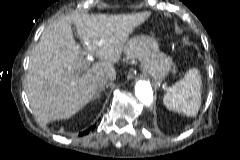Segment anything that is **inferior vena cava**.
I'll list each match as a JSON object with an SVG mask.
<instances>
[{
	"label": "inferior vena cava",
	"instance_id": "obj_1",
	"mask_svg": "<svg viewBox=\"0 0 240 160\" xmlns=\"http://www.w3.org/2000/svg\"><path fill=\"white\" fill-rule=\"evenodd\" d=\"M108 81H110L109 78H104V79H102V80L98 83L99 88H103V87L107 84Z\"/></svg>",
	"mask_w": 240,
	"mask_h": 160
}]
</instances>
